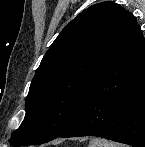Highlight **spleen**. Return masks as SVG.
Instances as JSON below:
<instances>
[{
    "label": "spleen",
    "mask_w": 145,
    "mask_h": 147,
    "mask_svg": "<svg viewBox=\"0 0 145 147\" xmlns=\"http://www.w3.org/2000/svg\"><path fill=\"white\" fill-rule=\"evenodd\" d=\"M88 147H117V145L108 140L95 138L90 141Z\"/></svg>",
    "instance_id": "spleen-1"
}]
</instances>
